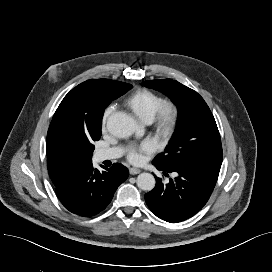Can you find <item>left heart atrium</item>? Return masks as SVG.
<instances>
[{"label":"left heart atrium","mask_w":272,"mask_h":272,"mask_svg":"<svg viewBox=\"0 0 272 272\" xmlns=\"http://www.w3.org/2000/svg\"><path fill=\"white\" fill-rule=\"evenodd\" d=\"M151 150L152 146L148 143L137 148H132L128 152V159L134 163L140 162L142 160V153L150 152Z\"/></svg>","instance_id":"left-heart-atrium-1"}]
</instances>
